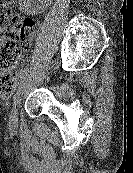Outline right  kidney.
<instances>
[{"label": "right kidney", "instance_id": "right-kidney-1", "mask_svg": "<svg viewBox=\"0 0 133 173\" xmlns=\"http://www.w3.org/2000/svg\"><path fill=\"white\" fill-rule=\"evenodd\" d=\"M20 1V9L25 12L36 13L40 8V4L43 5V2L46 3V0H19ZM50 1V0H48ZM36 2H38L36 4Z\"/></svg>", "mask_w": 133, "mask_h": 173}]
</instances>
